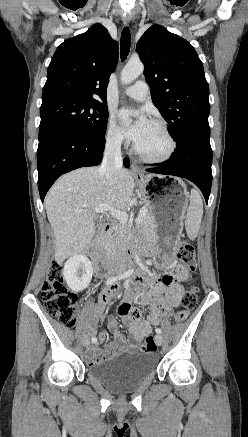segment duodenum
Masks as SVG:
<instances>
[{"label": "duodenum", "mask_w": 248, "mask_h": 437, "mask_svg": "<svg viewBox=\"0 0 248 437\" xmlns=\"http://www.w3.org/2000/svg\"><path fill=\"white\" fill-rule=\"evenodd\" d=\"M110 230L111 225L106 224L101 233L96 237L90 249V255L97 264V276H106L127 267L136 254L135 247L127 245L121 257L110 258L107 256L103 250V242Z\"/></svg>", "instance_id": "obj_1"}]
</instances>
